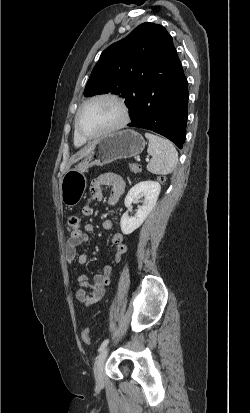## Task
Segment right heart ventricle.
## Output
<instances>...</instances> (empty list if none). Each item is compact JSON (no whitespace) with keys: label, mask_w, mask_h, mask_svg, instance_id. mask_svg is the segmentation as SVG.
Returning <instances> with one entry per match:
<instances>
[{"label":"right heart ventricle","mask_w":250,"mask_h":413,"mask_svg":"<svg viewBox=\"0 0 250 413\" xmlns=\"http://www.w3.org/2000/svg\"><path fill=\"white\" fill-rule=\"evenodd\" d=\"M84 143H85V141L82 140L81 138H79L76 133H74V144H75L77 147H80V146H82Z\"/></svg>","instance_id":"e07e8e85"}]
</instances>
